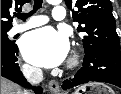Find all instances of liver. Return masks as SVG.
<instances>
[{
    "mask_svg": "<svg viewBox=\"0 0 121 94\" xmlns=\"http://www.w3.org/2000/svg\"><path fill=\"white\" fill-rule=\"evenodd\" d=\"M1 94H24V92L18 85L1 77Z\"/></svg>",
    "mask_w": 121,
    "mask_h": 94,
    "instance_id": "6515ba94",
    "label": "liver"
}]
</instances>
